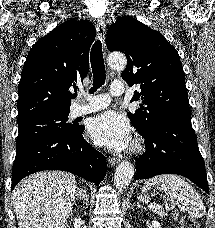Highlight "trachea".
<instances>
[{
  "mask_svg": "<svg viewBox=\"0 0 215 228\" xmlns=\"http://www.w3.org/2000/svg\"><path fill=\"white\" fill-rule=\"evenodd\" d=\"M91 68L93 72V87L90 89L89 93H94L98 88L105 84L106 71L103 59L102 45L98 40L93 44L91 49ZM77 94L73 95L75 98Z\"/></svg>",
  "mask_w": 215,
  "mask_h": 228,
  "instance_id": "trachea-1",
  "label": "trachea"
}]
</instances>
